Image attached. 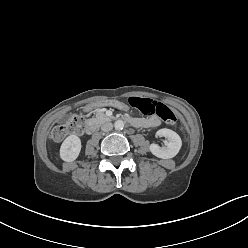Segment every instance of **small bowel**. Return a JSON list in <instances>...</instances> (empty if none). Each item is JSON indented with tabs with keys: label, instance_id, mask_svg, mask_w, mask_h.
<instances>
[{
	"label": "small bowel",
	"instance_id": "1",
	"mask_svg": "<svg viewBox=\"0 0 248 248\" xmlns=\"http://www.w3.org/2000/svg\"><path fill=\"white\" fill-rule=\"evenodd\" d=\"M138 120H139V124L137 126L156 128L160 125V120L156 116H152L146 119H138Z\"/></svg>",
	"mask_w": 248,
	"mask_h": 248
}]
</instances>
